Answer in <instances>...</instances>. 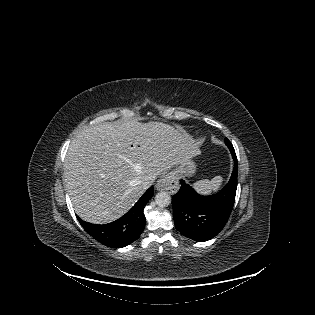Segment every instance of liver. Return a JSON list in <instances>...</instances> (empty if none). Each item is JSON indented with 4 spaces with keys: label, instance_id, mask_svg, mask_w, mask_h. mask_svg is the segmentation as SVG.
<instances>
[{
    "label": "liver",
    "instance_id": "obj_1",
    "mask_svg": "<svg viewBox=\"0 0 315 315\" xmlns=\"http://www.w3.org/2000/svg\"><path fill=\"white\" fill-rule=\"evenodd\" d=\"M199 153L185 131L162 122H105L71 141L64 185L77 215L105 224L124 215L142 196V183L185 164Z\"/></svg>",
    "mask_w": 315,
    "mask_h": 315
}]
</instances>
